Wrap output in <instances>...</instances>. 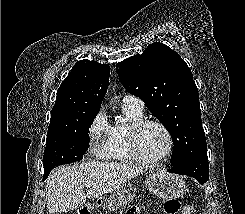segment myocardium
Returning a JSON list of instances; mask_svg holds the SVG:
<instances>
[{
	"label": "myocardium",
	"mask_w": 245,
	"mask_h": 214,
	"mask_svg": "<svg viewBox=\"0 0 245 214\" xmlns=\"http://www.w3.org/2000/svg\"><path fill=\"white\" fill-rule=\"evenodd\" d=\"M148 126H156L160 128L164 132L167 138V148L165 152L160 157L155 158V159H150V158L145 157L141 153L139 145H138V138H139L141 131ZM127 144H128V148H129V151L132 157L136 161L144 165L159 164L160 162L164 161L171 155L173 148H174V140H173V136L170 130L163 123L156 121V120H150V119H142L128 126Z\"/></svg>",
	"instance_id": "obj_1"
}]
</instances>
